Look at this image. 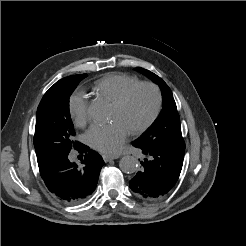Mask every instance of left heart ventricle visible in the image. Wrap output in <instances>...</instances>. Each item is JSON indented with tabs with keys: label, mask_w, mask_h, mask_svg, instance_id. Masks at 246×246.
I'll use <instances>...</instances> for the list:
<instances>
[{
	"label": "left heart ventricle",
	"mask_w": 246,
	"mask_h": 246,
	"mask_svg": "<svg viewBox=\"0 0 246 246\" xmlns=\"http://www.w3.org/2000/svg\"><path fill=\"white\" fill-rule=\"evenodd\" d=\"M155 104L154 91L148 87H142L132 94L124 106L113 105L110 118L120 120L130 131L147 121L154 111Z\"/></svg>",
	"instance_id": "obj_1"
}]
</instances>
